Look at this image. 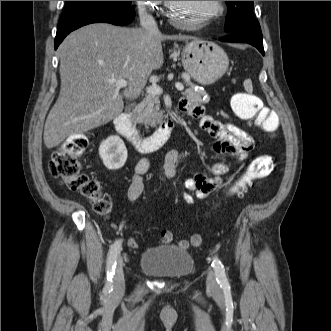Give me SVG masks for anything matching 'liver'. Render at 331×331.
Masks as SVG:
<instances>
[{"mask_svg":"<svg viewBox=\"0 0 331 331\" xmlns=\"http://www.w3.org/2000/svg\"><path fill=\"white\" fill-rule=\"evenodd\" d=\"M191 36L150 34L143 28L105 23L84 26L69 34L58 48L61 89L44 127V144L52 149L67 137L113 120L124 108L123 98H136L164 56L161 42ZM125 79L120 92L115 83Z\"/></svg>","mask_w":331,"mask_h":331,"instance_id":"1","label":"liver"}]
</instances>
